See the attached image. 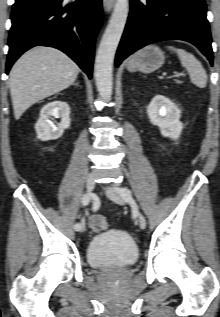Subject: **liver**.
I'll return each mask as SVG.
<instances>
[{"instance_id":"1","label":"liver","mask_w":220,"mask_h":317,"mask_svg":"<svg viewBox=\"0 0 220 317\" xmlns=\"http://www.w3.org/2000/svg\"><path fill=\"white\" fill-rule=\"evenodd\" d=\"M79 71L72 59L55 48L39 46L24 53L9 77L15 119L34 103L69 87Z\"/></svg>"}]
</instances>
